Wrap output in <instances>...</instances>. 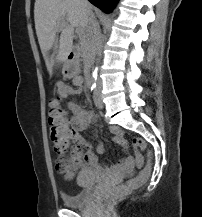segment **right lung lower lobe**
I'll use <instances>...</instances> for the list:
<instances>
[{
  "label": "right lung lower lobe",
  "mask_w": 202,
  "mask_h": 217,
  "mask_svg": "<svg viewBox=\"0 0 202 217\" xmlns=\"http://www.w3.org/2000/svg\"><path fill=\"white\" fill-rule=\"evenodd\" d=\"M93 5L102 9L106 13H110L115 7L117 0H89Z\"/></svg>",
  "instance_id": "1"
}]
</instances>
